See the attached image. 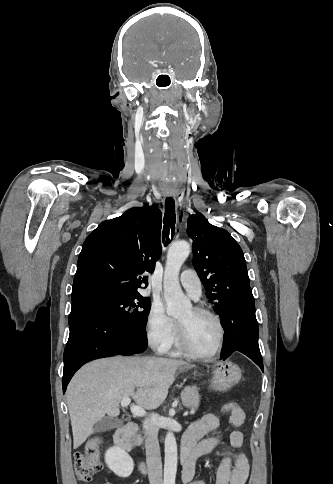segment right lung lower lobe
Instances as JSON below:
<instances>
[{
	"mask_svg": "<svg viewBox=\"0 0 333 484\" xmlns=\"http://www.w3.org/2000/svg\"><path fill=\"white\" fill-rule=\"evenodd\" d=\"M69 339L64 351L63 392L86 362L111 355H133L147 348V335L132 331L102 303L86 296L72 300Z\"/></svg>",
	"mask_w": 333,
	"mask_h": 484,
	"instance_id": "98d812e1",
	"label": "right lung lower lobe"
}]
</instances>
